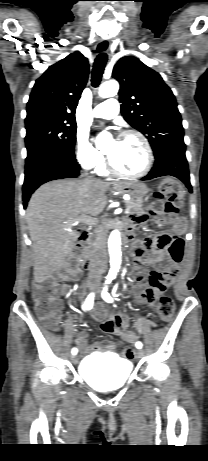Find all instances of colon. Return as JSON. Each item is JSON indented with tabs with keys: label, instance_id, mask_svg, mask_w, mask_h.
I'll return each instance as SVG.
<instances>
[{
	"label": "colon",
	"instance_id": "1",
	"mask_svg": "<svg viewBox=\"0 0 208 461\" xmlns=\"http://www.w3.org/2000/svg\"><path fill=\"white\" fill-rule=\"evenodd\" d=\"M182 193L181 186L178 182L171 179H165L161 182L158 190L154 193V201L149 206L148 211L151 215H166L171 219H177L179 216L178 202ZM58 284L51 278L33 286L32 300L36 311L44 324L50 330H56L58 325V310L60 300L57 296ZM175 311V302L170 296L161 297L157 314L163 322H170L173 319ZM124 358L132 360L135 352L130 349L134 346L133 340H126Z\"/></svg>",
	"mask_w": 208,
	"mask_h": 461
}]
</instances>
